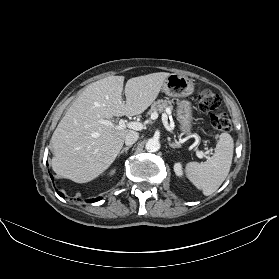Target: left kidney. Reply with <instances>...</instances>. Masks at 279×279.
<instances>
[{"instance_id": "5707ae66", "label": "left kidney", "mask_w": 279, "mask_h": 279, "mask_svg": "<svg viewBox=\"0 0 279 279\" xmlns=\"http://www.w3.org/2000/svg\"><path fill=\"white\" fill-rule=\"evenodd\" d=\"M174 171H175V174L179 177H182L183 176V170H182V164L181 163H175L174 165Z\"/></svg>"}]
</instances>
